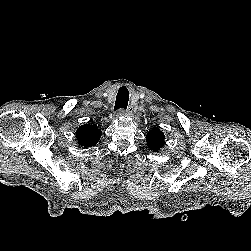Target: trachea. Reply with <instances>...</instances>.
<instances>
[{"mask_svg": "<svg viewBox=\"0 0 251 251\" xmlns=\"http://www.w3.org/2000/svg\"><path fill=\"white\" fill-rule=\"evenodd\" d=\"M128 100H129L128 89L125 86L120 87L116 96L114 110L126 109L128 105Z\"/></svg>", "mask_w": 251, "mask_h": 251, "instance_id": "obj_1", "label": "trachea"}]
</instances>
